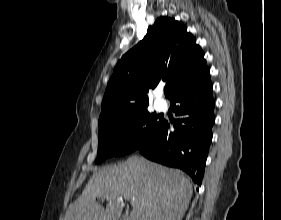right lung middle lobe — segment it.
I'll use <instances>...</instances> for the list:
<instances>
[{"label": "right lung middle lobe", "instance_id": "1", "mask_svg": "<svg viewBox=\"0 0 281 220\" xmlns=\"http://www.w3.org/2000/svg\"><path fill=\"white\" fill-rule=\"evenodd\" d=\"M163 119L147 108L109 120L99 125L96 163L137 150L161 126Z\"/></svg>", "mask_w": 281, "mask_h": 220}]
</instances>
